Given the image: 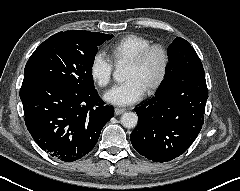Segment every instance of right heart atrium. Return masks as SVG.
Listing matches in <instances>:
<instances>
[{
    "instance_id": "obj_1",
    "label": "right heart atrium",
    "mask_w": 240,
    "mask_h": 191,
    "mask_svg": "<svg viewBox=\"0 0 240 191\" xmlns=\"http://www.w3.org/2000/svg\"><path fill=\"white\" fill-rule=\"evenodd\" d=\"M113 63L103 52L96 53L90 63L92 79L101 87H106L112 78Z\"/></svg>"
}]
</instances>
